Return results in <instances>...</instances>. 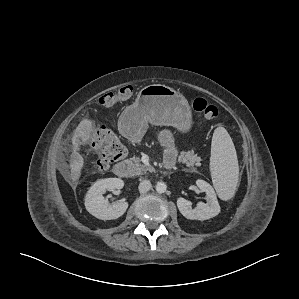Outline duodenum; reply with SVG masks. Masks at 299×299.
Segmentation results:
<instances>
[{"instance_id": "duodenum-1", "label": "duodenum", "mask_w": 299, "mask_h": 299, "mask_svg": "<svg viewBox=\"0 0 299 299\" xmlns=\"http://www.w3.org/2000/svg\"><path fill=\"white\" fill-rule=\"evenodd\" d=\"M171 166L172 165L169 164V163L165 164L166 168H171ZM113 170H114L115 175H117L120 178H126V177H128L129 176V172H130L128 164L126 162H123V161L117 163L114 166Z\"/></svg>"}]
</instances>
